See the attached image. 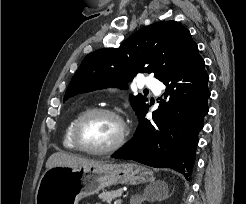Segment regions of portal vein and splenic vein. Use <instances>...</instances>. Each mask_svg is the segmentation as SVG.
I'll return each mask as SVG.
<instances>
[{"instance_id": "obj_1", "label": "portal vein and splenic vein", "mask_w": 246, "mask_h": 204, "mask_svg": "<svg viewBox=\"0 0 246 204\" xmlns=\"http://www.w3.org/2000/svg\"><path fill=\"white\" fill-rule=\"evenodd\" d=\"M122 200L121 199H118L114 202V204H121Z\"/></svg>"}]
</instances>
